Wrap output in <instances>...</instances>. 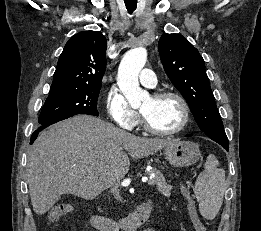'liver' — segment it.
<instances>
[{"mask_svg":"<svg viewBox=\"0 0 261 231\" xmlns=\"http://www.w3.org/2000/svg\"><path fill=\"white\" fill-rule=\"evenodd\" d=\"M176 141L137 137L87 115L55 123L38 136L28 154L33 210L46 213L63 194L94 199L128 173L126 152L139 159Z\"/></svg>","mask_w":261,"mask_h":231,"instance_id":"obj_1","label":"liver"}]
</instances>
